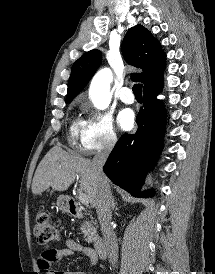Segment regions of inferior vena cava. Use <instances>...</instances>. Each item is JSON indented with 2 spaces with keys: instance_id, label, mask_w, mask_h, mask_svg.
<instances>
[{
  "instance_id": "1",
  "label": "inferior vena cava",
  "mask_w": 215,
  "mask_h": 274,
  "mask_svg": "<svg viewBox=\"0 0 215 274\" xmlns=\"http://www.w3.org/2000/svg\"><path fill=\"white\" fill-rule=\"evenodd\" d=\"M116 137L107 141L105 148L97 153L92 160V167L97 180L96 212L104 237L109 262L114 266L118 260V243L111 225V191L103 166L116 143Z\"/></svg>"
}]
</instances>
